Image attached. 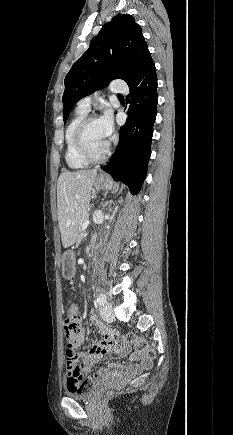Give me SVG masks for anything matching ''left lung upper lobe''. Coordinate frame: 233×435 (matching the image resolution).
Wrapping results in <instances>:
<instances>
[{"label": "left lung upper lobe", "mask_w": 233, "mask_h": 435, "mask_svg": "<svg viewBox=\"0 0 233 435\" xmlns=\"http://www.w3.org/2000/svg\"><path fill=\"white\" fill-rule=\"evenodd\" d=\"M154 63L141 27L129 14H117L103 25L88 50L73 64L65 77L63 120L74 104L113 79L133 84Z\"/></svg>", "instance_id": "left-lung-upper-lobe-1"}]
</instances>
